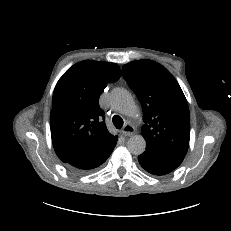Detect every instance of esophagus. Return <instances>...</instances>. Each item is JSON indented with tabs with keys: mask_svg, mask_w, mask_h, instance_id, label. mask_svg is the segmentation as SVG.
<instances>
[{
	"mask_svg": "<svg viewBox=\"0 0 231 231\" xmlns=\"http://www.w3.org/2000/svg\"><path fill=\"white\" fill-rule=\"evenodd\" d=\"M122 133L125 136H132L135 133V128L130 124H126L122 129Z\"/></svg>",
	"mask_w": 231,
	"mask_h": 231,
	"instance_id": "obj_1",
	"label": "esophagus"
}]
</instances>
